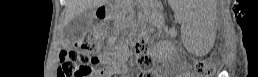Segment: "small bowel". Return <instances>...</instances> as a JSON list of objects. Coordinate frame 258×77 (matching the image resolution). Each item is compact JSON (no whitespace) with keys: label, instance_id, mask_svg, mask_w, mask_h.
Listing matches in <instances>:
<instances>
[{"label":"small bowel","instance_id":"1","mask_svg":"<svg viewBox=\"0 0 258 77\" xmlns=\"http://www.w3.org/2000/svg\"><path fill=\"white\" fill-rule=\"evenodd\" d=\"M126 51L118 53H106L101 57V61L104 64L103 69L99 72L98 76L102 77L109 75L113 72L123 71L125 67Z\"/></svg>","mask_w":258,"mask_h":77}]
</instances>
